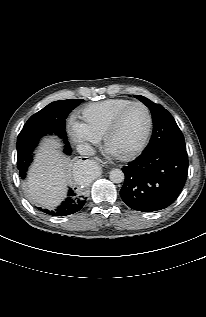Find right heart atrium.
Returning <instances> with one entry per match:
<instances>
[{
	"label": "right heart atrium",
	"mask_w": 206,
	"mask_h": 317,
	"mask_svg": "<svg viewBox=\"0 0 206 317\" xmlns=\"http://www.w3.org/2000/svg\"><path fill=\"white\" fill-rule=\"evenodd\" d=\"M68 133L71 140L77 144H95L98 141L80 122L71 121L68 125Z\"/></svg>",
	"instance_id": "d8ad5b80"
}]
</instances>
